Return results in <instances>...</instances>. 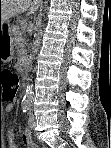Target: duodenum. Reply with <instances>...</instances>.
I'll return each instance as SVG.
<instances>
[{"label": "duodenum", "instance_id": "obj_1", "mask_svg": "<svg viewBox=\"0 0 111 148\" xmlns=\"http://www.w3.org/2000/svg\"><path fill=\"white\" fill-rule=\"evenodd\" d=\"M20 62L24 65H26L28 63V59L25 57H21Z\"/></svg>", "mask_w": 111, "mask_h": 148}]
</instances>
